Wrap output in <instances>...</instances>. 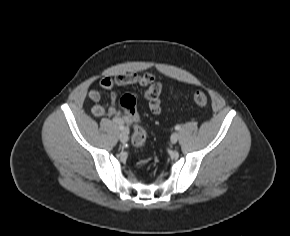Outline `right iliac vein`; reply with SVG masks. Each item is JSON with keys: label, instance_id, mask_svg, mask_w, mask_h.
<instances>
[{"label": "right iliac vein", "instance_id": "obj_1", "mask_svg": "<svg viewBox=\"0 0 290 236\" xmlns=\"http://www.w3.org/2000/svg\"><path fill=\"white\" fill-rule=\"evenodd\" d=\"M119 139L122 143H126L128 141V129L124 128L122 132L119 134Z\"/></svg>", "mask_w": 290, "mask_h": 236}]
</instances>
